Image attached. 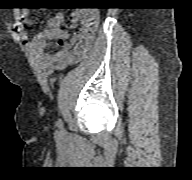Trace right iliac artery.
Segmentation results:
<instances>
[{
  "mask_svg": "<svg viewBox=\"0 0 192 180\" xmlns=\"http://www.w3.org/2000/svg\"><path fill=\"white\" fill-rule=\"evenodd\" d=\"M59 126H60V127L62 126L61 122H59Z\"/></svg>",
  "mask_w": 192,
  "mask_h": 180,
  "instance_id": "right-iliac-artery-1",
  "label": "right iliac artery"
}]
</instances>
